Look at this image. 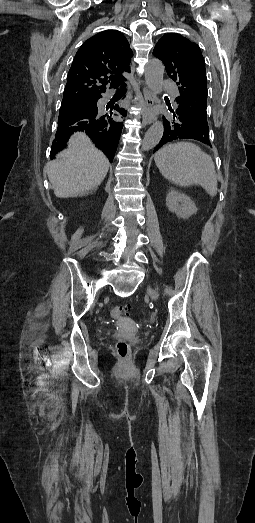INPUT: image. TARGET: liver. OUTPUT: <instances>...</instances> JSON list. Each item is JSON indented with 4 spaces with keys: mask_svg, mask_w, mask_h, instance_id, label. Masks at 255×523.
Instances as JSON below:
<instances>
[{
    "mask_svg": "<svg viewBox=\"0 0 255 523\" xmlns=\"http://www.w3.org/2000/svg\"><path fill=\"white\" fill-rule=\"evenodd\" d=\"M109 160L85 134H74L68 148L45 166L56 198L83 196L103 182Z\"/></svg>",
    "mask_w": 255,
    "mask_h": 523,
    "instance_id": "liver-1",
    "label": "liver"
}]
</instances>
